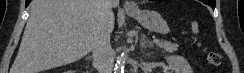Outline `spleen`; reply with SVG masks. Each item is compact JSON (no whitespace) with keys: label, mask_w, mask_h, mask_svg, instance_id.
I'll return each mask as SVG.
<instances>
[{"label":"spleen","mask_w":244,"mask_h":73,"mask_svg":"<svg viewBox=\"0 0 244 73\" xmlns=\"http://www.w3.org/2000/svg\"><path fill=\"white\" fill-rule=\"evenodd\" d=\"M191 27H192V32H193L194 34H197V33L199 32L197 22H195V21L192 22V23H191Z\"/></svg>","instance_id":"1"}]
</instances>
